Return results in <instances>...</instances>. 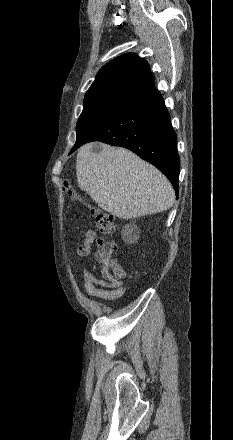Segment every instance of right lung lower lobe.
Instances as JSON below:
<instances>
[{
    "label": "right lung lower lobe",
    "instance_id": "98d812e1",
    "mask_svg": "<svg viewBox=\"0 0 233 440\" xmlns=\"http://www.w3.org/2000/svg\"><path fill=\"white\" fill-rule=\"evenodd\" d=\"M92 141L127 148L150 162L168 177L178 197L177 136L158 90L153 89L126 103L103 125L76 143L70 153Z\"/></svg>",
    "mask_w": 233,
    "mask_h": 440
}]
</instances>
